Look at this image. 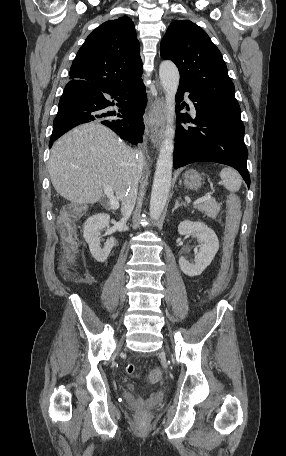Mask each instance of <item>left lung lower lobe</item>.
<instances>
[{
	"label": "left lung lower lobe",
	"instance_id": "obj_1",
	"mask_svg": "<svg viewBox=\"0 0 286 456\" xmlns=\"http://www.w3.org/2000/svg\"><path fill=\"white\" fill-rule=\"evenodd\" d=\"M185 91L190 93L189 98L194 102L196 118L192 120L187 114L177 113L174 168L203 161L226 164L241 174L249 188L248 151L244 144L240 109L195 93L183 84L178 88V103L183 100ZM180 110L182 107L177 106L176 111ZM186 121L196 127L182 126L180 122Z\"/></svg>",
	"mask_w": 286,
	"mask_h": 456
}]
</instances>
